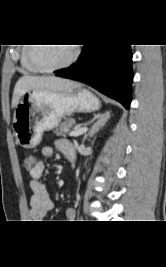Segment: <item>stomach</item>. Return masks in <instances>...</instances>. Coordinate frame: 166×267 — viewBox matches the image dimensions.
Here are the masks:
<instances>
[{
  "label": "stomach",
  "instance_id": "stomach-1",
  "mask_svg": "<svg viewBox=\"0 0 166 267\" xmlns=\"http://www.w3.org/2000/svg\"><path fill=\"white\" fill-rule=\"evenodd\" d=\"M99 109V99L86 89L32 90L21 97L14 110V136L20 146L33 148L41 142L43 133L57 127L65 116Z\"/></svg>",
  "mask_w": 166,
  "mask_h": 267
}]
</instances>
